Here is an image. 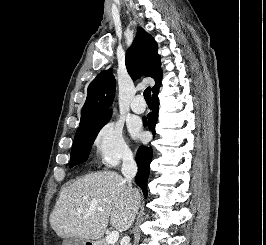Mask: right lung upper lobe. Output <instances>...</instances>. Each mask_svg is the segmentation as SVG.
Masks as SVG:
<instances>
[{"label": "right lung upper lobe", "mask_w": 266, "mask_h": 245, "mask_svg": "<svg viewBox=\"0 0 266 245\" xmlns=\"http://www.w3.org/2000/svg\"><path fill=\"white\" fill-rule=\"evenodd\" d=\"M158 47L153 39L143 28L138 27L137 36L126 53V67L133 79L141 75L152 77L155 86L152 92H156L162 79L160 68V56ZM115 78L111 69L102 71L90 83L87 99L81 112V123H86L103 116L111 115V106L115 94Z\"/></svg>", "instance_id": "1"}]
</instances>
